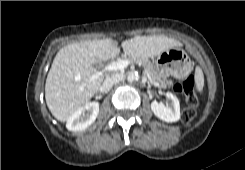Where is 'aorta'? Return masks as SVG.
I'll use <instances>...</instances> for the list:
<instances>
[{"label": "aorta", "mask_w": 245, "mask_h": 170, "mask_svg": "<svg viewBox=\"0 0 245 170\" xmlns=\"http://www.w3.org/2000/svg\"><path fill=\"white\" fill-rule=\"evenodd\" d=\"M128 82H137L139 81V75L137 73L131 72L127 77Z\"/></svg>", "instance_id": "762f6f07"}]
</instances>
